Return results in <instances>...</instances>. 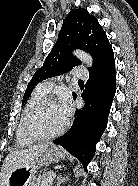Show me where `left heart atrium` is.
<instances>
[{
	"mask_svg": "<svg viewBox=\"0 0 138 186\" xmlns=\"http://www.w3.org/2000/svg\"><path fill=\"white\" fill-rule=\"evenodd\" d=\"M59 106L63 112V114L65 115L66 119L68 118V116L71 113L72 107H71V101L69 99V97L65 96L61 102L59 103Z\"/></svg>",
	"mask_w": 138,
	"mask_h": 186,
	"instance_id": "obj_1",
	"label": "left heart atrium"
}]
</instances>
